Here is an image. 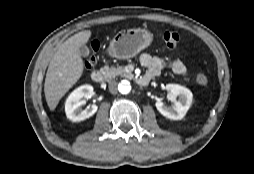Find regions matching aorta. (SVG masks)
Segmentation results:
<instances>
[{
    "label": "aorta",
    "instance_id": "762f6f07",
    "mask_svg": "<svg viewBox=\"0 0 254 174\" xmlns=\"http://www.w3.org/2000/svg\"><path fill=\"white\" fill-rule=\"evenodd\" d=\"M118 90L121 94H128L131 91V85L128 81L124 80L118 85Z\"/></svg>",
    "mask_w": 254,
    "mask_h": 174
}]
</instances>
